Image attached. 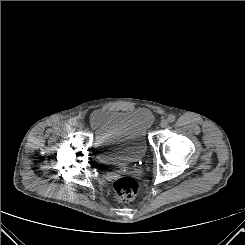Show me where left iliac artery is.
<instances>
[{"label":"left iliac artery","instance_id":"obj_1","mask_svg":"<svg viewBox=\"0 0 245 245\" xmlns=\"http://www.w3.org/2000/svg\"><path fill=\"white\" fill-rule=\"evenodd\" d=\"M168 121L170 122V123H173L174 121H175V116L173 115V114H171V115H169L168 116Z\"/></svg>","mask_w":245,"mask_h":245}]
</instances>
